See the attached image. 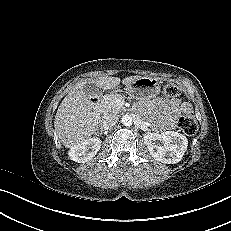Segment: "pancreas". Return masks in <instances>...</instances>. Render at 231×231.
Masks as SVG:
<instances>
[{"instance_id":"1","label":"pancreas","mask_w":231,"mask_h":231,"mask_svg":"<svg viewBox=\"0 0 231 231\" xmlns=\"http://www.w3.org/2000/svg\"><path fill=\"white\" fill-rule=\"evenodd\" d=\"M124 98L125 96L121 94L106 96L100 104L101 112L105 115L109 113L121 112L122 110H124Z\"/></svg>"}]
</instances>
